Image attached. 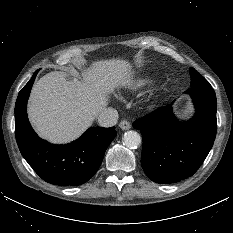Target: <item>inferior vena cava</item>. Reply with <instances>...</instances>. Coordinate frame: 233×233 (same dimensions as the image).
<instances>
[{
    "mask_svg": "<svg viewBox=\"0 0 233 233\" xmlns=\"http://www.w3.org/2000/svg\"><path fill=\"white\" fill-rule=\"evenodd\" d=\"M118 120V112L113 108H105L98 115V123L102 127H112L116 125Z\"/></svg>",
    "mask_w": 233,
    "mask_h": 233,
    "instance_id": "inferior-vena-cava-1",
    "label": "inferior vena cava"
}]
</instances>
